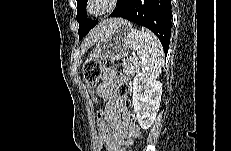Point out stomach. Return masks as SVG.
Here are the masks:
<instances>
[{"label":"stomach","instance_id":"1","mask_svg":"<svg viewBox=\"0 0 231 151\" xmlns=\"http://www.w3.org/2000/svg\"><path fill=\"white\" fill-rule=\"evenodd\" d=\"M132 30V26L129 23L115 25L107 30L98 41L89 58L100 61L125 58L129 52L128 36Z\"/></svg>","mask_w":231,"mask_h":151}]
</instances>
